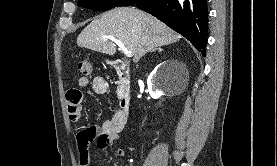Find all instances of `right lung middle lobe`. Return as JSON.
<instances>
[{
    "mask_svg": "<svg viewBox=\"0 0 277 166\" xmlns=\"http://www.w3.org/2000/svg\"><path fill=\"white\" fill-rule=\"evenodd\" d=\"M124 1L125 0H78V5L88 9L101 11L120 6Z\"/></svg>",
    "mask_w": 277,
    "mask_h": 166,
    "instance_id": "obj_1",
    "label": "right lung middle lobe"
}]
</instances>
